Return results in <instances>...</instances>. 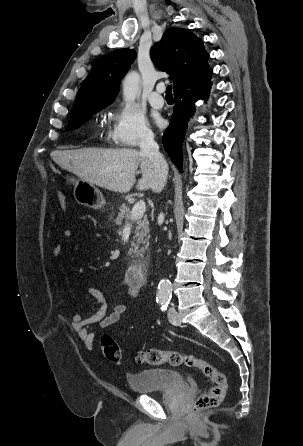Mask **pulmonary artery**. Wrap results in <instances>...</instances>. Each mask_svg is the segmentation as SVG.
Masks as SVG:
<instances>
[{"label": "pulmonary artery", "mask_w": 303, "mask_h": 446, "mask_svg": "<svg viewBox=\"0 0 303 446\" xmlns=\"http://www.w3.org/2000/svg\"><path fill=\"white\" fill-rule=\"evenodd\" d=\"M164 91L163 85H158L155 90L150 94L149 103L154 108H162L164 105V98L161 93Z\"/></svg>", "instance_id": "obj_1"}]
</instances>
